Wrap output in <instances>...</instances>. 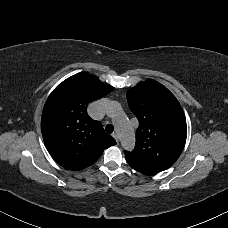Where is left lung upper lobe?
Here are the masks:
<instances>
[{
    "label": "left lung upper lobe",
    "instance_id": "1",
    "mask_svg": "<svg viewBox=\"0 0 228 228\" xmlns=\"http://www.w3.org/2000/svg\"><path fill=\"white\" fill-rule=\"evenodd\" d=\"M127 101L139 127L135 148L125 151V156L159 170L168 169L180 156L187 137L178 100L159 82L146 80L127 91Z\"/></svg>",
    "mask_w": 228,
    "mask_h": 228
}]
</instances>
